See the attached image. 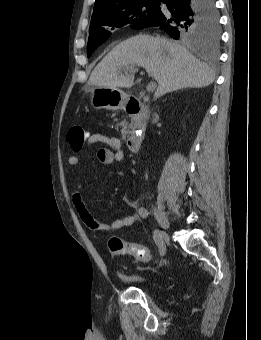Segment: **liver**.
Wrapping results in <instances>:
<instances>
[{
	"mask_svg": "<svg viewBox=\"0 0 261 340\" xmlns=\"http://www.w3.org/2000/svg\"><path fill=\"white\" fill-rule=\"evenodd\" d=\"M135 66L144 67L157 81L156 98L187 87H206L214 81L213 70L185 47L163 38L139 34L114 47L94 68L88 85L131 88L134 73L127 69Z\"/></svg>",
	"mask_w": 261,
	"mask_h": 340,
	"instance_id": "obj_1",
	"label": "liver"
}]
</instances>
